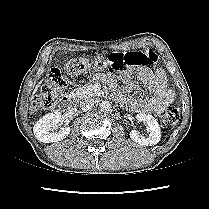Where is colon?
Masks as SVG:
<instances>
[{
	"mask_svg": "<svg viewBox=\"0 0 209 209\" xmlns=\"http://www.w3.org/2000/svg\"><path fill=\"white\" fill-rule=\"evenodd\" d=\"M158 55L152 49L143 52L111 53L101 57L99 61H94L95 69H106L108 71H128L133 67L155 64ZM68 84V77L58 68H53L49 78L44 82L33 99L35 110H48L58 104L62 92ZM179 110L175 107H168L163 115V125L165 127L174 125L179 120Z\"/></svg>",
	"mask_w": 209,
	"mask_h": 209,
	"instance_id": "obj_1",
	"label": "colon"
}]
</instances>
